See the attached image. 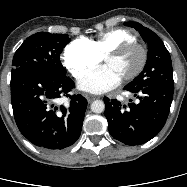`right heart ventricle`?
<instances>
[{
  "label": "right heart ventricle",
  "instance_id": "1",
  "mask_svg": "<svg viewBox=\"0 0 187 187\" xmlns=\"http://www.w3.org/2000/svg\"><path fill=\"white\" fill-rule=\"evenodd\" d=\"M87 40L95 53L100 57H103L109 50L122 43L137 41L136 37L125 29L104 31L99 33L96 37Z\"/></svg>",
  "mask_w": 187,
  "mask_h": 187
}]
</instances>
